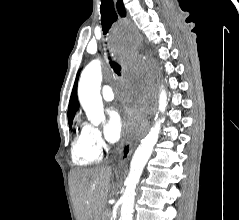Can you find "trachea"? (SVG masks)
<instances>
[{
  "instance_id": "obj_1",
  "label": "trachea",
  "mask_w": 239,
  "mask_h": 220,
  "mask_svg": "<svg viewBox=\"0 0 239 220\" xmlns=\"http://www.w3.org/2000/svg\"><path fill=\"white\" fill-rule=\"evenodd\" d=\"M100 12H101V21L103 27V33L107 34L111 25L117 20V13L114 7L113 0H101L100 5ZM110 65L113 68L114 72L120 76L121 66L112 60L109 56Z\"/></svg>"
}]
</instances>
